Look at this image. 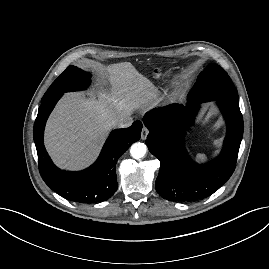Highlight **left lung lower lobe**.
<instances>
[{
    "label": "left lung lower lobe",
    "instance_id": "0a47b994",
    "mask_svg": "<svg viewBox=\"0 0 269 269\" xmlns=\"http://www.w3.org/2000/svg\"><path fill=\"white\" fill-rule=\"evenodd\" d=\"M186 106L171 104L143 118L149 129L146 145L160 160L155 188L169 201H198L212 195L235 170L243 135L239 102L216 99L227 122V135L220 156L207 164L194 163L184 147V134L193 123L198 104L189 98Z\"/></svg>",
    "mask_w": 269,
    "mask_h": 269
}]
</instances>
